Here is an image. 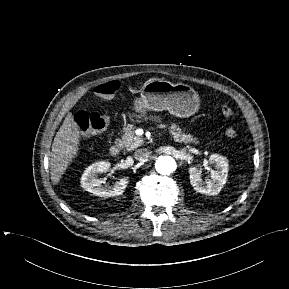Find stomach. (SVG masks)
Returning <instances> with one entry per match:
<instances>
[{
  "mask_svg": "<svg viewBox=\"0 0 289 289\" xmlns=\"http://www.w3.org/2000/svg\"><path fill=\"white\" fill-rule=\"evenodd\" d=\"M199 96L189 85L173 84L163 79H151L142 87L141 96L135 100L136 112L168 110L177 117H189L199 108Z\"/></svg>",
  "mask_w": 289,
  "mask_h": 289,
  "instance_id": "obj_1",
  "label": "stomach"
}]
</instances>
